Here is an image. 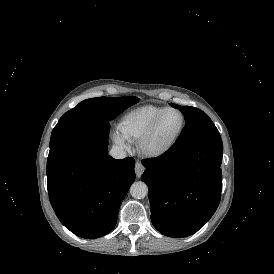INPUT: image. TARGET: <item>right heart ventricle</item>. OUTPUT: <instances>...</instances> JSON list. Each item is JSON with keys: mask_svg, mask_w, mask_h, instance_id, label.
I'll return each mask as SVG.
<instances>
[{"mask_svg": "<svg viewBox=\"0 0 274 274\" xmlns=\"http://www.w3.org/2000/svg\"><path fill=\"white\" fill-rule=\"evenodd\" d=\"M164 109L163 106L147 104L127 111L118 123L120 135L129 142H136Z\"/></svg>", "mask_w": 274, "mask_h": 274, "instance_id": "right-heart-ventricle-1", "label": "right heart ventricle"}]
</instances>
